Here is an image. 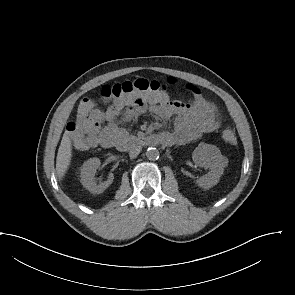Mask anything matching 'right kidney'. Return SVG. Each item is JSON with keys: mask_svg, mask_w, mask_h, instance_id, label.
Listing matches in <instances>:
<instances>
[{"mask_svg": "<svg viewBox=\"0 0 295 295\" xmlns=\"http://www.w3.org/2000/svg\"><path fill=\"white\" fill-rule=\"evenodd\" d=\"M100 164L101 162L99 158H91L81 167L80 181L82 185L93 194H100L104 192L112 184L114 179V176L111 173L107 181L100 184L96 183L94 176Z\"/></svg>", "mask_w": 295, "mask_h": 295, "instance_id": "obj_1", "label": "right kidney"}]
</instances>
